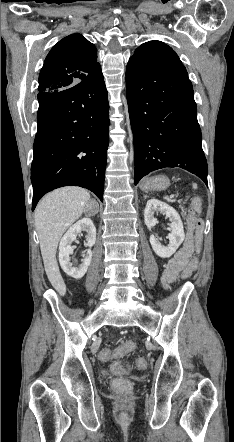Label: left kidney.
<instances>
[{"mask_svg":"<svg viewBox=\"0 0 234 442\" xmlns=\"http://www.w3.org/2000/svg\"><path fill=\"white\" fill-rule=\"evenodd\" d=\"M155 212H161L169 218L171 221V233L168 235L169 243L167 246L162 245L154 234L150 236V244L159 257L169 258L184 241L185 233L183 223L179 214L173 207L157 199H150L147 201L144 210V221L148 228L154 227L157 223V220L154 217Z\"/></svg>","mask_w":234,"mask_h":442,"instance_id":"5707ae66","label":"left kidney"}]
</instances>
